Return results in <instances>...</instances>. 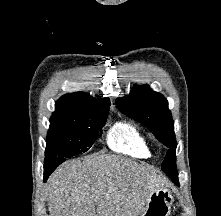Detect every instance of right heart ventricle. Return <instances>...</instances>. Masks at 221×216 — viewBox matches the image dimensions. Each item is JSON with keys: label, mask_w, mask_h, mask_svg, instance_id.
Returning a JSON list of instances; mask_svg holds the SVG:
<instances>
[{"label": "right heart ventricle", "mask_w": 221, "mask_h": 216, "mask_svg": "<svg viewBox=\"0 0 221 216\" xmlns=\"http://www.w3.org/2000/svg\"><path fill=\"white\" fill-rule=\"evenodd\" d=\"M106 143L118 153L141 158L151 155V145L143 131L128 121L116 122L107 131Z\"/></svg>", "instance_id": "e07e8e85"}]
</instances>
